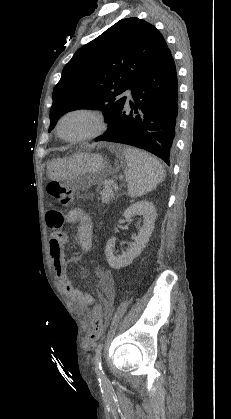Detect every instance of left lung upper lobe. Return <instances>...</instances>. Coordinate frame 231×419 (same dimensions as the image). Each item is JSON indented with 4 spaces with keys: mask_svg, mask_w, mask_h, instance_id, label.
<instances>
[{
    "mask_svg": "<svg viewBox=\"0 0 231 419\" xmlns=\"http://www.w3.org/2000/svg\"><path fill=\"white\" fill-rule=\"evenodd\" d=\"M167 51L162 34L150 23L135 17L118 21L65 65L53 90L49 132L60 116L82 107L103 110L110 123L126 100L121 94Z\"/></svg>",
    "mask_w": 231,
    "mask_h": 419,
    "instance_id": "5c2ea615",
    "label": "left lung upper lobe"
}]
</instances>
